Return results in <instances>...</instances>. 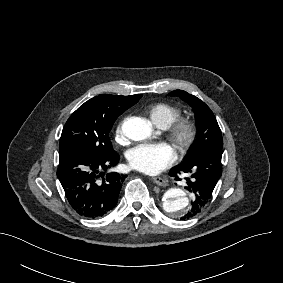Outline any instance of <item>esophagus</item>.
Wrapping results in <instances>:
<instances>
[{
    "label": "esophagus",
    "mask_w": 283,
    "mask_h": 283,
    "mask_svg": "<svg viewBox=\"0 0 283 283\" xmlns=\"http://www.w3.org/2000/svg\"><path fill=\"white\" fill-rule=\"evenodd\" d=\"M152 180L159 186L165 187L168 185L167 180L160 177H152Z\"/></svg>",
    "instance_id": "esophagus-1"
}]
</instances>
